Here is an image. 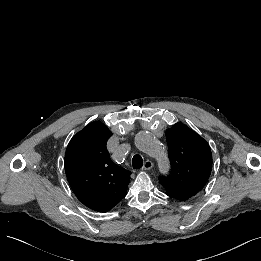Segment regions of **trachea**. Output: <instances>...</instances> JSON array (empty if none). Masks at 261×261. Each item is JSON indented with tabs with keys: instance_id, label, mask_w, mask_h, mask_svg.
<instances>
[{
	"instance_id": "obj_1",
	"label": "trachea",
	"mask_w": 261,
	"mask_h": 261,
	"mask_svg": "<svg viewBox=\"0 0 261 261\" xmlns=\"http://www.w3.org/2000/svg\"><path fill=\"white\" fill-rule=\"evenodd\" d=\"M132 166L134 169H140L143 166V159L140 155H134L132 158Z\"/></svg>"
}]
</instances>
